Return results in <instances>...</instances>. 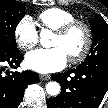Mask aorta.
Returning a JSON list of instances; mask_svg holds the SVG:
<instances>
[{
	"mask_svg": "<svg viewBox=\"0 0 108 108\" xmlns=\"http://www.w3.org/2000/svg\"><path fill=\"white\" fill-rule=\"evenodd\" d=\"M52 32L50 30H42L40 33V43L43 47H49V39L51 37ZM46 92L51 96H56L60 93V85L59 83L52 81L46 85Z\"/></svg>",
	"mask_w": 108,
	"mask_h": 108,
	"instance_id": "obj_1",
	"label": "aorta"
}]
</instances>
